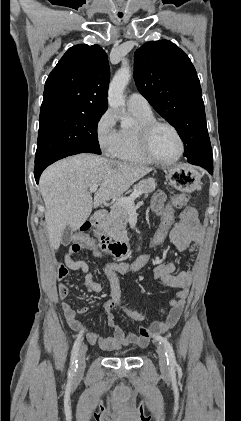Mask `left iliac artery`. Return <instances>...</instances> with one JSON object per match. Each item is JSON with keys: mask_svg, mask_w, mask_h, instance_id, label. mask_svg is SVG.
Wrapping results in <instances>:
<instances>
[{"mask_svg": "<svg viewBox=\"0 0 241 421\" xmlns=\"http://www.w3.org/2000/svg\"><path fill=\"white\" fill-rule=\"evenodd\" d=\"M157 339L164 346L165 355L167 357V364L169 365L170 370L171 371H174L175 367H177L178 365H177L175 354H174V350H173L171 344L164 337L159 336V337H157Z\"/></svg>", "mask_w": 241, "mask_h": 421, "instance_id": "44dca946", "label": "left iliac artery"}]
</instances>
